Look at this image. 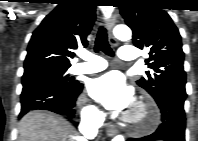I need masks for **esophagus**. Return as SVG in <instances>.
<instances>
[{"instance_id":"34e87169","label":"esophagus","mask_w":198,"mask_h":141,"mask_svg":"<svg viewBox=\"0 0 198 141\" xmlns=\"http://www.w3.org/2000/svg\"><path fill=\"white\" fill-rule=\"evenodd\" d=\"M116 19H117V15L113 14L111 16L109 22L107 23L109 42L114 47H116L118 45V41L116 40V38L113 35V28L115 26ZM106 131H107V135L112 137L118 132V128L114 123L109 122L106 124Z\"/></svg>"}]
</instances>
